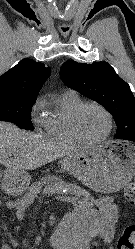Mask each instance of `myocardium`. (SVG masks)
<instances>
[{"label": "myocardium", "instance_id": "1", "mask_svg": "<svg viewBox=\"0 0 135 249\" xmlns=\"http://www.w3.org/2000/svg\"><path fill=\"white\" fill-rule=\"evenodd\" d=\"M88 107H96L98 108L107 118L108 121V129L104 136L98 138V139H90L87 136L83 134V132L80 129L79 126V119L82 114V112L88 108ZM71 125H72V130L75 134V136L83 143V144H88V145H95L99 144L103 141H105L107 138L112 133L113 130V117L112 114L109 112V110L101 105L100 103L97 102H84L80 106L77 107V109L74 111L71 119Z\"/></svg>", "mask_w": 135, "mask_h": 249}]
</instances>
